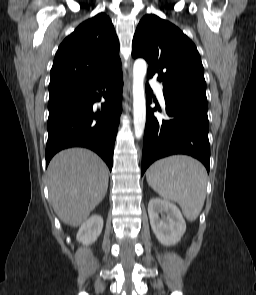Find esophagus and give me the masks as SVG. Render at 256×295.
Returning a JSON list of instances; mask_svg holds the SVG:
<instances>
[{
	"mask_svg": "<svg viewBox=\"0 0 256 295\" xmlns=\"http://www.w3.org/2000/svg\"><path fill=\"white\" fill-rule=\"evenodd\" d=\"M128 72H129V76L131 77V67L130 66H129Z\"/></svg>",
	"mask_w": 256,
	"mask_h": 295,
	"instance_id": "esophagus-1",
	"label": "esophagus"
}]
</instances>
